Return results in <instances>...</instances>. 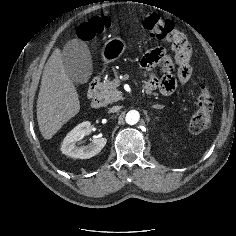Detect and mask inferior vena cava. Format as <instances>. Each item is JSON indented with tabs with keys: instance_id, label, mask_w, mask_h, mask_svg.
Returning <instances> with one entry per match:
<instances>
[{
	"instance_id": "1",
	"label": "inferior vena cava",
	"mask_w": 236,
	"mask_h": 236,
	"mask_svg": "<svg viewBox=\"0 0 236 236\" xmlns=\"http://www.w3.org/2000/svg\"><path fill=\"white\" fill-rule=\"evenodd\" d=\"M120 106H113L110 110H109V112L110 113H114V112H117V111H119L120 110Z\"/></svg>"
}]
</instances>
